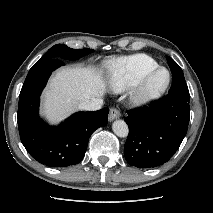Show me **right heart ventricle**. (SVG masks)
<instances>
[{
    "mask_svg": "<svg viewBox=\"0 0 213 213\" xmlns=\"http://www.w3.org/2000/svg\"><path fill=\"white\" fill-rule=\"evenodd\" d=\"M159 66L158 62L146 55L136 54L108 62L107 80L116 92L134 87L147 73Z\"/></svg>",
    "mask_w": 213,
    "mask_h": 213,
    "instance_id": "1",
    "label": "right heart ventricle"
}]
</instances>
